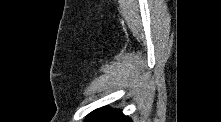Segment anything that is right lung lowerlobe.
Listing matches in <instances>:
<instances>
[{
  "instance_id": "1",
  "label": "right lung lower lobe",
  "mask_w": 221,
  "mask_h": 122,
  "mask_svg": "<svg viewBox=\"0 0 221 122\" xmlns=\"http://www.w3.org/2000/svg\"><path fill=\"white\" fill-rule=\"evenodd\" d=\"M86 121L131 122L120 110L103 107L91 112Z\"/></svg>"
}]
</instances>
